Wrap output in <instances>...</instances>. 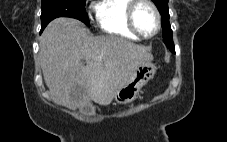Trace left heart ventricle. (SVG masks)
Returning a JSON list of instances; mask_svg holds the SVG:
<instances>
[{
  "instance_id": "1",
  "label": "left heart ventricle",
  "mask_w": 227,
  "mask_h": 142,
  "mask_svg": "<svg viewBox=\"0 0 227 142\" xmlns=\"http://www.w3.org/2000/svg\"><path fill=\"white\" fill-rule=\"evenodd\" d=\"M138 29L146 35L152 34L156 29V17L153 10L143 4L139 6L135 14Z\"/></svg>"
}]
</instances>
